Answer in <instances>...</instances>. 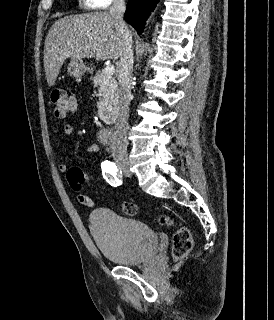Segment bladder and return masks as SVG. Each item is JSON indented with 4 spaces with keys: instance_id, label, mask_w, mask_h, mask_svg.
<instances>
[{
    "instance_id": "31cf9c89",
    "label": "bladder",
    "mask_w": 274,
    "mask_h": 320,
    "mask_svg": "<svg viewBox=\"0 0 274 320\" xmlns=\"http://www.w3.org/2000/svg\"><path fill=\"white\" fill-rule=\"evenodd\" d=\"M91 236L101 254L122 266H137L158 249V236L146 223L111 209H97L89 218Z\"/></svg>"
}]
</instances>
